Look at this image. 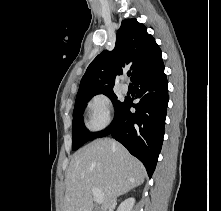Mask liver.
I'll use <instances>...</instances> for the list:
<instances>
[{
  "label": "liver",
  "mask_w": 221,
  "mask_h": 211,
  "mask_svg": "<svg viewBox=\"0 0 221 211\" xmlns=\"http://www.w3.org/2000/svg\"><path fill=\"white\" fill-rule=\"evenodd\" d=\"M145 176L143 164L124 146L108 138L95 140L71 159L64 211H93V188L104 194L100 211H111L113 199L141 185Z\"/></svg>",
  "instance_id": "obj_1"
}]
</instances>
